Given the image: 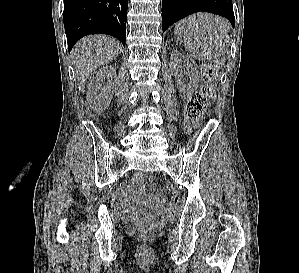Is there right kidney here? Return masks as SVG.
<instances>
[{"instance_id": "1", "label": "right kidney", "mask_w": 299, "mask_h": 273, "mask_svg": "<svg viewBox=\"0 0 299 273\" xmlns=\"http://www.w3.org/2000/svg\"><path fill=\"white\" fill-rule=\"evenodd\" d=\"M115 76V69L111 66H105L95 71L89 78L87 100L94 110L101 112L109 105L115 85L112 80H109L104 86L102 83L105 81V78L110 79Z\"/></svg>"}]
</instances>
